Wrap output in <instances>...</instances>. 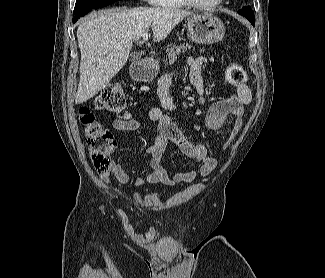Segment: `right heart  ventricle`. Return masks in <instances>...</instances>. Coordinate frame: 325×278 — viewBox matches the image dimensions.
<instances>
[{"label": "right heart ventricle", "mask_w": 325, "mask_h": 278, "mask_svg": "<svg viewBox=\"0 0 325 278\" xmlns=\"http://www.w3.org/2000/svg\"><path fill=\"white\" fill-rule=\"evenodd\" d=\"M155 5L164 8H182L185 6L182 0H156Z\"/></svg>", "instance_id": "1"}]
</instances>
